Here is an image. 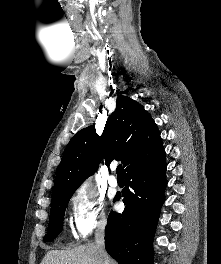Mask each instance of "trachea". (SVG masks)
Masks as SVG:
<instances>
[{
	"label": "trachea",
	"mask_w": 221,
	"mask_h": 264,
	"mask_svg": "<svg viewBox=\"0 0 221 264\" xmlns=\"http://www.w3.org/2000/svg\"><path fill=\"white\" fill-rule=\"evenodd\" d=\"M116 173H117L118 176H122L123 175L122 165H118L117 166Z\"/></svg>",
	"instance_id": "trachea-1"
}]
</instances>
